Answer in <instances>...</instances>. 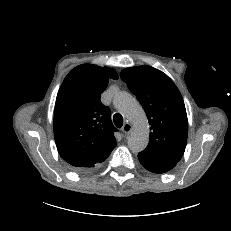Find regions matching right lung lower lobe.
<instances>
[{
	"instance_id": "98d812e1",
	"label": "right lung lower lobe",
	"mask_w": 231,
	"mask_h": 231,
	"mask_svg": "<svg viewBox=\"0 0 231 231\" xmlns=\"http://www.w3.org/2000/svg\"><path fill=\"white\" fill-rule=\"evenodd\" d=\"M107 158V157H106ZM106 158H104L103 160H101L100 162H98V163H101V162H103ZM95 164H92V165H86V166H81V167H79V168H90V167H93Z\"/></svg>"
}]
</instances>
